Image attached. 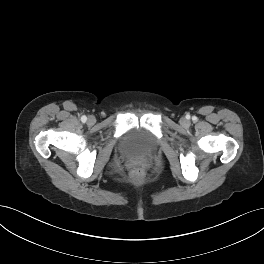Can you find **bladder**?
Listing matches in <instances>:
<instances>
[{"instance_id":"31cf9c89","label":"bladder","mask_w":264,"mask_h":264,"mask_svg":"<svg viewBox=\"0 0 264 264\" xmlns=\"http://www.w3.org/2000/svg\"><path fill=\"white\" fill-rule=\"evenodd\" d=\"M157 147V140L152 134L143 129H135L122 138L118 151L125 157L141 158L153 154Z\"/></svg>"}]
</instances>
